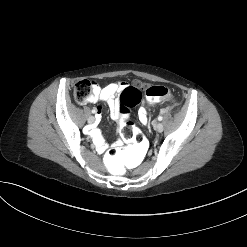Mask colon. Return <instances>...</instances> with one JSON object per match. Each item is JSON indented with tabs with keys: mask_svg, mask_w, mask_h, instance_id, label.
<instances>
[{
	"mask_svg": "<svg viewBox=\"0 0 247 247\" xmlns=\"http://www.w3.org/2000/svg\"><path fill=\"white\" fill-rule=\"evenodd\" d=\"M139 84L125 88L119 97V111L127 114L141 99ZM93 83L89 80L79 81L74 88V97L86 102L92 94ZM146 97L151 103L171 97L170 90L165 86L146 87ZM120 135L128 142L125 149H109L104 154V169L111 176L126 177L139 167L149 153L148 139L131 122L123 121L119 128Z\"/></svg>",
	"mask_w": 247,
	"mask_h": 247,
	"instance_id": "1",
	"label": "colon"
}]
</instances>
